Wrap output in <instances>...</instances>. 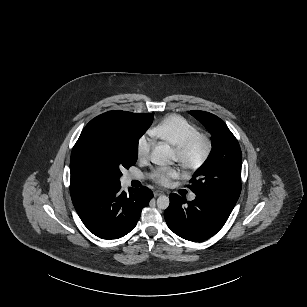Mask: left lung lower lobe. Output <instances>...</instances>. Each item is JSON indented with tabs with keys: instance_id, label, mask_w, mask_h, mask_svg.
Masks as SVG:
<instances>
[{
	"instance_id": "obj_1",
	"label": "left lung lower lobe",
	"mask_w": 307,
	"mask_h": 307,
	"mask_svg": "<svg viewBox=\"0 0 307 307\" xmlns=\"http://www.w3.org/2000/svg\"><path fill=\"white\" fill-rule=\"evenodd\" d=\"M170 205L164 212L168 227L178 236L193 242L215 235L225 224L233 207L196 196L187 202L171 194Z\"/></svg>"
}]
</instances>
